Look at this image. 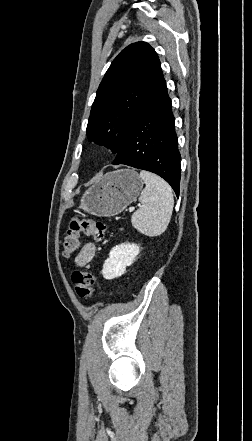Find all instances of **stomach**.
Listing matches in <instances>:
<instances>
[{
	"instance_id": "stomach-1",
	"label": "stomach",
	"mask_w": 252,
	"mask_h": 441,
	"mask_svg": "<svg viewBox=\"0 0 252 441\" xmlns=\"http://www.w3.org/2000/svg\"><path fill=\"white\" fill-rule=\"evenodd\" d=\"M142 187L143 181L134 170L106 173L85 192L80 208L96 216H115L137 199Z\"/></svg>"
}]
</instances>
